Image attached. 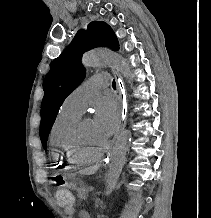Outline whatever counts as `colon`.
I'll use <instances>...</instances> for the list:
<instances>
[{
	"label": "colon",
	"instance_id": "5ec220e1",
	"mask_svg": "<svg viewBox=\"0 0 211 218\" xmlns=\"http://www.w3.org/2000/svg\"><path fill=\"white\" fill-rule=\"evenodd\" d=\"M56 202L60 206L68 207L74 204V195L71 190L64 184L59 185L55 191Z\"/></svg>",
	"mask_w": 211,
	"mask_h": 218
}]
</instances>
